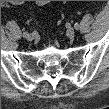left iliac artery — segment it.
<instances>
[{
  "label": "left iliac artery",
  "instance_id": "44dca946",
  "mask_svg": "<svg viewBox=\"0 0 109 109\" xmlns=\"http://www.w3.org/2000/svg\"><path fill=\"white\" fill-rule=\"evenodd\" d=\"M74 27H75L76 30H78L79 29V24L75 23Z\"/></svg>",
  "mask_w": 109,
  "mask_h": 109
}]
</instances>
